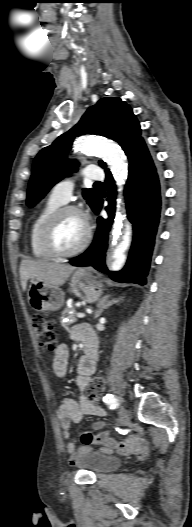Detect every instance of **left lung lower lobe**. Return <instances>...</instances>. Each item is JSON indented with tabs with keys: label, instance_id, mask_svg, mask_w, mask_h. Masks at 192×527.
I'll return each mask as SVG.
<instances>
[{
	"label": "left lung lower lobe",
	"instance_id": "obj_1",
	"mask_svg": "<svg viewBox=\"0 0 192 527\" xmlns=\"http://www.w3.org/2000/svg\"><path fill=\"white\" fill-rule=\"evenodd\" d=\"M128 160L129 175L124 192L127 217L133 223L134 236L126 266L119 272L108 271L105 266L108 232L115 215L116 186L111 172H106L105 180L109 202L106 211L109 218L104 220L98 217V229L93 243L86 252L70 260V263L74 266H93L117 282L144 285L160 217L159 174L144 141L132 149ZM102 204L103 200L99 198L96 214L100 212Z\"/></svg>",
	"mask_w": 192,
	"mask_h": 527
}]
</instances>
